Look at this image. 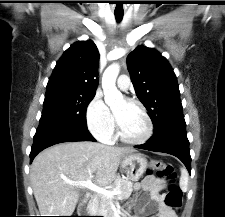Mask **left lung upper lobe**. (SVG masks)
<instances>
[{"mask_svg": "<svg viewBox=\"0 0 225 217\" xmlns=\"http://www.w3.org/2000/svg\"><path fill=\"white\" fill-rule=\"evenodd\" d=\"M127 67L154 132L185 122L176 75L165 57L153 48L139 46L128 55Z\"/></svg>", "mask_w": 225, "mask_h": 217, "instance_id": "left-lung-upper-lobe-1", "label": "left lung upper lobe"}]
</instances>
